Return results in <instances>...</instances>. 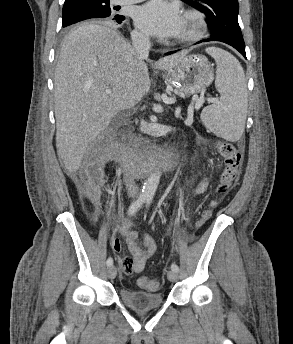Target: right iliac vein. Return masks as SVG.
<instances>
[{
    "label": "right iliac vein",
    "mask_w": 293,
    "mask_h": 344,
    "mask_svg": "<svg viewBox=\"0 0 293 344\" xmlns=\"http://www.w3.org/2000/svg\"><path fill=\"white\" fill-rule=\"evenodd\" d=\"M107 273H108L109 279H111V280L114 279L116 277V273H117L116 267L111 265L108 268Z\"/></svg>",
    "instance_id": "obj_1"
}]
</instances>
